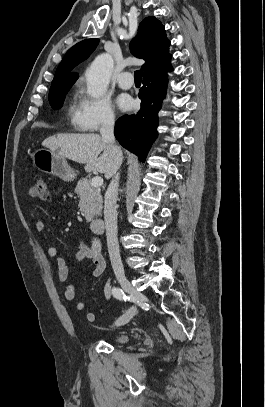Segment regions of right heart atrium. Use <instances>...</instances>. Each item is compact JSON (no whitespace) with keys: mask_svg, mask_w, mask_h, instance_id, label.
Instances as JSON below:
<instances>
[{"mask_svg":"<svg viewBox=\"0 0 265 407\" xmlns=\"http://www.w3.org/2000/svg\"><path fill=\"white\" fill-rule=\"evenodd\" d=\"M76 109V120L82 130L99 131L116 122L115 112L104 97L93 98L82 93Z\"/></svg>","mask_w":265,"mask_h":407,"instance_id":"right-heart-atrium-1","label":"right heart atrium"}]
</instances>
